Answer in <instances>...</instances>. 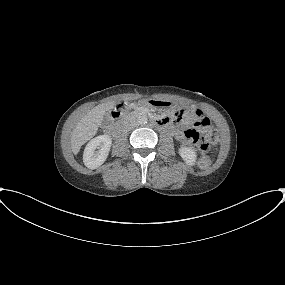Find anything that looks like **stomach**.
<instances>
[{"label":"stomach","instance_id":"stomach-1","mask_svg":"<svg viewBox=\"0 0 285 285\" xmlns=\"http://www.w3.org/2000/svg\"><path fill=\"white\" fill-rule=\"evenodd\" d=\"M142 104L148 106L153 111H171L176 108L174 103L158 99H145L142 101Z\"/></svg>","mask_w":285,"mask_h":285}]
</instances>
